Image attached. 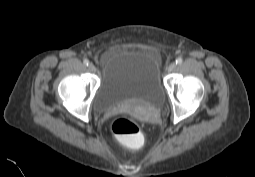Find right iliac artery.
<instances>
[{"label":"right iliac artery","mask_w":255,"mask_h":177,"mask_svg":"<svg viewBox=\"0 0 255 177\" xmlns=\"http://www.w3.org/2000/svg\"><path fill=\"white\" fill-rule=\"evenodd\" d=\"M83 63H84V65L88 66L89 65V60L88 59H84Z\"/></svg>","instance_id":"82829eb1"}]
</instances>
